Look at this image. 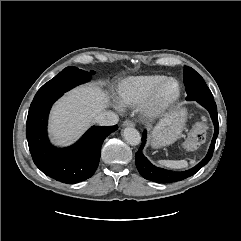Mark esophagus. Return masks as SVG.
<instances>
[{
	"label": "esophagus",
	"instance_id": "obj_1",
	"mask_svg": "<svg viewBox=\"0 0 241 241\" xmlns=\"http://www.w3.org/2000/svg\"><path fill=\"white\" fill-rule=\"evenodd\" d=\"M122 126H123V127H134L135 124H134V122L131 121V120H125V121L123 122Z\"/></svg>",
	"mask_w": 241,
	"mask_h": 241
}]
</instances>
